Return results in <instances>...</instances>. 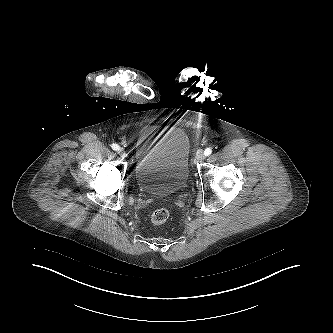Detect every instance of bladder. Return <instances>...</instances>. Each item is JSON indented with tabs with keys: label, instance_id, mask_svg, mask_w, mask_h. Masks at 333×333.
Listing matches in <instances>:
<instances>
[{
	"label": "bladder",
	"instance_id": "1",
	"mask_svg": "<svg viewBox=\"0 0 333 333\" xmlns=\"http://www.w3.org/2000/svg\"><path fill=\"white\" fill-rule=\"evenodd\" d=\"M191 143L179 127L166 131L137 159L134 179L144 193L169 196L182 190L189 178Z\"/></svg>",
	"mask_w": 333,
	"mask_h": 333
}]
</instances>
